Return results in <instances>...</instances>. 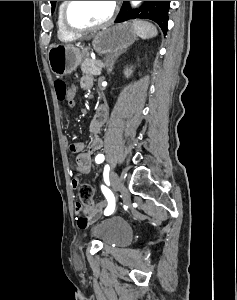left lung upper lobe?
<instances>
[{
  "instance_id": "obj_1",
  "label": "left lung upper lobe",
  "mask_w": 237,
  "mask_h": 300,
  "mask_svg": "<svg viewBox=\"0 0 237 300\" xmlns=\"http://www.w3.org/2000/svg\"><path fill=\"white\" fill-rule=\"evenodd\" d=\"M52 11L54 10L56 1H50ZM169 6L165 5V1H145V3L136 10L130 8L128 1H124L121 12L116 22H123L133 18H146L155 21L166 34L168 24Z\"/></svg>"
}]
</instances>
